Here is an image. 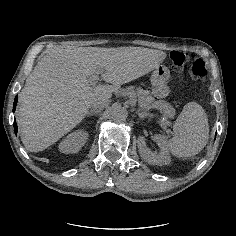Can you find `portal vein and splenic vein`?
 I'll use <instances>...</instances> for the list:
<instances>
[{"instance_id":"obj_1","label":"portal vein and splenic vein","mask_w":236,"mask_h":236,"mask_svg":"<svg viewBox=\"0 0 236 236\" xmlns=\"http://www.w3.org/2000/svg\"><path fill=\"white\" fill-rule=\"evenodd\" d=\"M100 79H101V73H100V72H97V73L92 74V75L89 77V82H90L91 84L97 83Z\"/></svg>"}]
</instances>
